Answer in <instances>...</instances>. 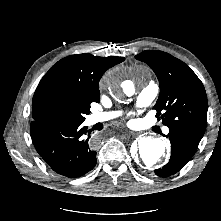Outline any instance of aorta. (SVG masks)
<instances>
[{
	"mask_svg": "<svg viewBox=\"0 0 221 221\" xmlns=\"http://www.w3.org/2000/svg\"><path fill=\"white\" fill-rule=\"evenodd\" d=\"M118 81L110 83V88H118ZM122 90L127 96L134 94V85L132 81H124L120 84ZM166 154V144L160 138L144 137L138 140L137 151L133 153V157L140 165L147 169L154 167L158 162L162 161Z\"/></svg>",
	"mask_w": 221,
	"mask_h": 221,
	"instance_id": "obj_1",
	"label": "aorta"
}]
</instances>
